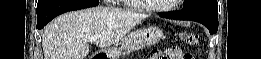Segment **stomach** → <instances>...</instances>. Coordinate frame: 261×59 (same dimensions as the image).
Here are the masks:
<instances>
[{
    "instance_id": "0dacf381",
    "label": "stomach",
    "mask_w": 261,
    "mask_h": 59,
    "mask_svg": "<svg viewBox=\"0 0 261 59\" xmlns=\"http://www.w3.org/2000/svg\"><path fill=\"white\" fill-rule=\"evenodd\" d=\"M165 39L164 32L156 25L147 26L133 30L121 40V49L116 55H109L106 58L119 59L121 55H129L148 46L157 44Z\"/></svg>"
}]
</instances>
